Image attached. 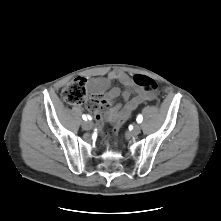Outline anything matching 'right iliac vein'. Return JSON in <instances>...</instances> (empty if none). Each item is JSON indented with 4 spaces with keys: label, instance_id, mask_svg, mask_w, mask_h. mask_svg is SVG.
I'll return each mask as SVG.
<instances>
[{
    "label": "right iliac vein",
    "instance_id": "obj_1",
    "mask_svg": "<svg viewBox=\"0 0 221 221\" xmlns=\"http://www.w3.org/2000/svg\"><path fill=\"white\" fill-rule=\"evenodd\" d=\"M92 127H93V124H92L91 121H84V122L82 123V128H83L84 130H90V129H92Z\"/></svg>",
    "mask_w": 221,
    "mask_h": 221
}]
</instances>
